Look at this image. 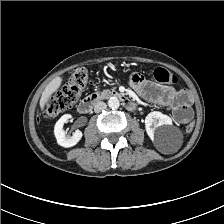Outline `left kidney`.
<instances>
[{
  "label": "left kidney",
  "instance_id": "left-kidney-1",
  "mask_svg": "<svg viewBox=\"0 0 224 224\" xmlns=\"http://www.w3.org/2000/svg\"><path fill=\"white\" fill-rule=\"evenodd\" d=\"M172 125V119L159 111L150 112L145 118L146 133L152 141L166 144L169 141L164 126Z\"/></svg>",
  "mask_w": 224,
  "mask_h": 224
}]
</instances>
